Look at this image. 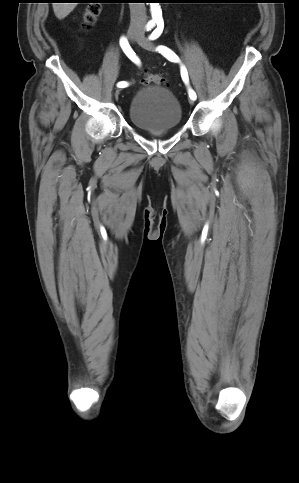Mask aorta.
<instances>
[{"label": "aorta", "mask_w": 299, "mask_h": 483, "mask_svg": "<svg viewBox=\"0 0 299 483\" xmlns=\"http://www.w3.org/2000/svg\"><path fill=\"white\" fill-rule=\"evenodd\" d=\"M151 15L153 21H158L162 19V11L159 3H150Z\"/></svg>", "instance_id": "obj_1"}]
</instances>
